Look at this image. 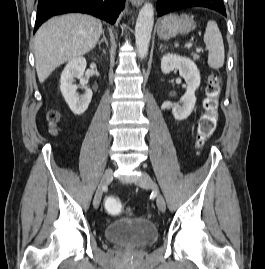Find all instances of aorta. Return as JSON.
I'll return each instance as SVG.
<instances>
[{
    "instance_id": "obj_1",
    "label": "aorta",
    "mask_w": 265,
    "mask_h": 269,
    "mask_svg": "<svg viewBox=\"0 0 265 269\" xmlns=\"http://www.w3.org/2000/svg\"><path fill=\"white\" fill-rule=\"evenodd\" d=\"M154 23V8L149 2L141 8L135 26V43L139 58L148 54L151 33Z\"/></svg>"
}]
</instances>
